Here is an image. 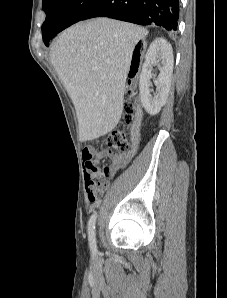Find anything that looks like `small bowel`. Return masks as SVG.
I'll return each instance as SVG.
<instances>
[{
	"label": "small bowel",
	"mask_w": 227,
	"mask_h": 298,
	"mask_svg": "<svg viewBox=\"0 0 227 298\" xmlns=\"http://www.w3.org/2000/svg\"><path fill=\"white\" fill-rule=\"evenodd\" d=\"M141 122V113L138 111L136 119L133 123L131 134L133 140L136 142L139 137V128ZM81 157L84 165V179L87 191L96 187L100 196L109 186V179L112 178L116 172L126 166L131 159V154H117L111 153L107 150H99L98 146H84ZM109 157L113 163L110 166L99 169L96 158ZM96 177H101L100 181H95Z\"/></svg>",
	"instance_id": "c3829d8e"
}]
</instances>
